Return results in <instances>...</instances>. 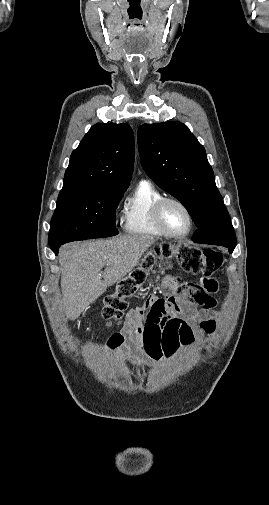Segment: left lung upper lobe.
<instances>
[{
    "instance_id": "5c2ea615",
    "label": "left lung upper lobe",
    "mask_w": 269,
    "mask_h": 505,
    "mask_svg": "<svg viewBox=\"0 0 269 505\" xmlns=\"http://www.w3.org/2000/svg\"><path fill=\"white\" fill-rule=\"evenodd\" d=\"M143 169L177 198L198 227L193 241L236 246L234 229L204 147L183 123L143 124L138 129Z\"/></svg>"
}]
</instances>
